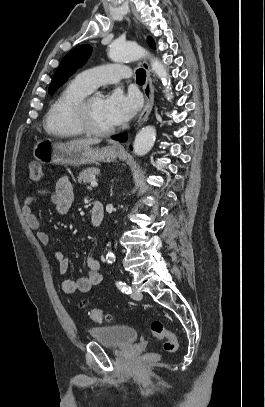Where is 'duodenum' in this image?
<instances>
[{
    "label": "duodenum",
    "mask_w": 265,
    "mask_h": 407,
    "mask_svg": "<svg viewBox=\"0 0 265 407\" xmlns=\"http://www.w3.org/2000/svg\"><path fill=\"white\" fill-rule=\"evenodd\" d=\"M91 221L94 225H99L105 217L104 205L101 202H95L90 211Z\"/></svg>",
    "instance_id": "duodenum-1"
}]
</instances>
